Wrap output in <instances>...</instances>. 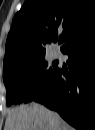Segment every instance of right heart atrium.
I'll use <instances>...</instances> for the list:
<instances>
[{
    "label": "right heart atrium",
    "mask_w": 95,
    "mask_h": 130,
    "mask_svg": "<svg viewBox=\"0 0 95 130\" xmlns=\"http://www.w3.org/2000/svg\"><path fill=\"white\" fill-rule=\"evenodd\" d=\"M33 84V79H30L28 82H27V87H31Z\"/></svg>",
    "instance_id": "obj_1"
}]
</instances>
